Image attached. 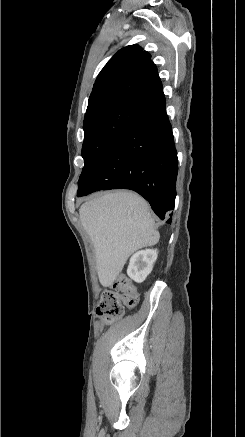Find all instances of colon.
I'll return each mask as SVG.
<instances>
[{"instance_id": "5ec220e1", "label": "colon", "mask_w": 245, "mask_h": 437, "mask_svg": "<svg viewBox=\"0 0 245 437\" xmlns=\"http://www.w3.org/2000/svg\"><path fill=\"white\" fill-rule=\"evenodd\" d=\"M139 301L137 289L125 277H119L112 288L105 291L97 306V315L106 323H112L123 313L124 307L133 308Z\"/></svg>"}]
</instances>
